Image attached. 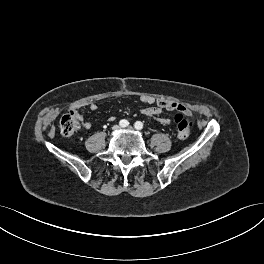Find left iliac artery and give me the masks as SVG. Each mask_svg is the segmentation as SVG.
Masks as SVG:
<instances>
[{"mask_svg": "<svg viewBox=\"0 0 264 264\" xmlns=\"http://www.w3.org/2000/svg\"><path fill=\"white\" fill-rule=\"evenodd\" d=\"M134 126L137 130H141L143 128V123L141 121H137Z\"/></svg>", "mask_w": 264, "mask_h": 264, "instance_id": "left-iliac-artery-1", "label": "left iliac artery"}]
</instances>
